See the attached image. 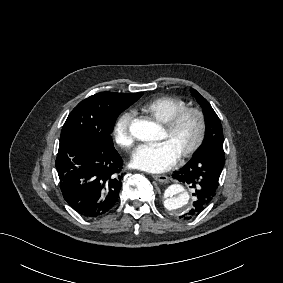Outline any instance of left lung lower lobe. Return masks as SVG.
Wrapping results in <instances>:
<instances>
[{
	"label": "left lung lower lobe",
	"instance_id": "obj_1",
	"mask_svg": "<svg viewBox=\"0 0 283 283\" xmlns=\"http://www.w3.org/2000/svg\"><path fill=\"white\" fill-rule=\"evenodd\" d=\"M224 163L223 144L205 145L187 165L173 174V178L194 189L193 208L182 216L184 219L197 216L212 201Z\"/></svg>",
	"mask_w": 283,
	"mask_h": 283
}]
</instances>
